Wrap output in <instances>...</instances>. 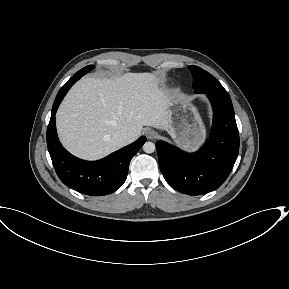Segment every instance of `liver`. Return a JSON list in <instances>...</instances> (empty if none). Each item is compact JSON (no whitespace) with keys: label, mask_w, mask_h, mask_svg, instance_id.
<instances>
[{"label":"liver","mask_w":289,"mask_h":289,"mask_svg":"<svg viewBox=\"0 0 289 289\" xmlns=\"http://www.w3.org/2000/svg\"><path fill=\"white\" fill-rule=\"evenodd\" d=\"M169 102V92L152 73L86 77L70 89L57 111L58 135L75 156L100 159L122 147L114 139L117 131L126 132L125 145L141 135L143 126L168 131Z\"/></svg>","instance_id":"obj_1"}]
</instances>
